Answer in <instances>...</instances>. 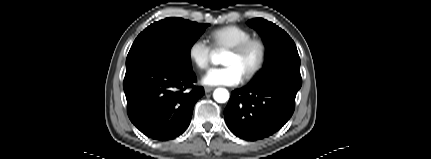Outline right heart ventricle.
I'll list each match as a JSON object with an SVG mask.
<instances>
[{
	"mask_svg": "<svg viewBox=\"0 0 431 159\" xmlns=\"http://www.w3.org/2000/svg\"><path fill=\"white\" fill-rule=\"evenodd\" d=\"M210 38L216 49L228 50L252 38V34L245 28L229 25L213 30Z\"/></svg>",
	"mask_w": 431,
	"mask_h": 159,
	"instance_id": "e07e8e85",
	"label": "right heart ventricle"
}]
</instances>
